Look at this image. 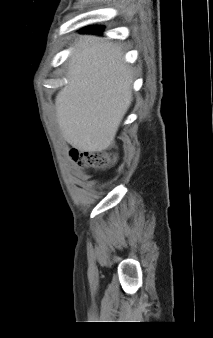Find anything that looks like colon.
<instances>
[{
  "label": "colon",
  "instance_id": "colon-1",
  "mask_svg": "<svg viewBox=\"0 0 213 338\" xmlns=\"http://www.w3.org/2000/svg\"><path fill=\"white\" fill-rule=\"evenodd\" d=\"M73 162L77 163L82 168L104 170L114 160L113 153L101 151H82L72 149L69 153Z\"/></svg>",
  "mask_w": 213,
  "mask_h": 338
}]
</instances>
